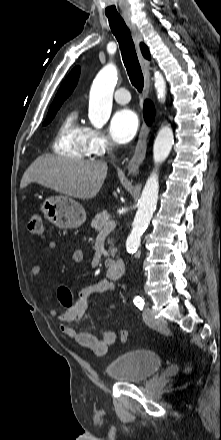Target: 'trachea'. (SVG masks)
<instances>
[{
    "label": "trachea",
    "instance_id": "obj_1",
    "mask_svg": "<svg viewBox=\"0 0 221 440\" xmlns=\"http://www.w3.org/2000/svg\"><path fill=\"white\" fill-rule=\"evenodd\" d=\"M112 33L116 37L132 85L142 92L144 77L135 51L130 30L121 17L108 18Z\"/></svg>",
    "mask_w": 221,
    "mask_h": 440
}]
</instances>
